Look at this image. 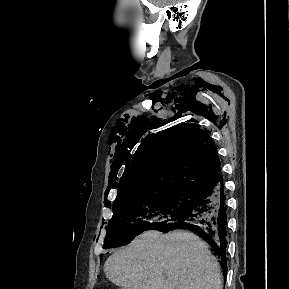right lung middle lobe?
Here are the masks:
<instances>
[{"mask_svg": "<svg viewBox=\"0 0 289 289\" xmlns=\"http://www.w3.org/2000/svg\"><path fill=\"white\" fill-rule=\"evenodd\" d=\"M193 199L192 191L173 190L134 196L114 204L103 248L118 247L146 230L157 229L184 214Z\"/></svg>", "mask_w": 289, "mask_h": 289, "instance_id": "1", "label": "right lung middle lobe"}]
</instances>
